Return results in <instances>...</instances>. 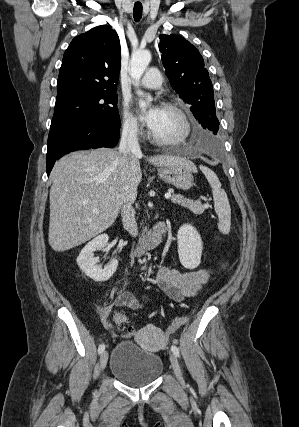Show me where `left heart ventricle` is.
<instances>
[{
	"instance_id": "obj_1",
	"label": "left heart ventricle",
	"mask_w": 299,
	"mask_h": 427,
	"mask_svg": "<svg viewBox=\"0 0 299 427\" xmlns=\"http://www.w3.org/2000/svg\"><path fill=\"white\" fill-rule=\"evenodd\" d=\"M152 132L161 138H173L182 132V124L174 112L161 108L159 118Z\"/></svg>"
}]
</instances>
